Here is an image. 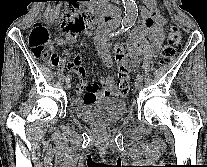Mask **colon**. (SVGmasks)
Here are the masks:
<instances>
[{
	"instance_id": "5ec220e1",
	"label": "colon",
	"mask_w": 207,
	"mask_h": 167,
	"mask_svg": "<svg viewBox=\"0 0 207 167\" xmlns=\"http://www.w3.org/2000/svg\"><path fill=\"white\" fill-rule=\"evenodd\" d=\"M59 1V0H58ZM58 3V2H56ZM58 4L47 8L44 14L45 22L49 23L57 19ZM86 16L80 15L75 19V14L72 9L68 10L60 19V36L61 38L69 39L79 28L82 27ZM182 36L178 27L172 26L168 31V38L161 52V63L171 61L176 49L181 46ZM29 46L31 53L36 58H44L53 65H58L60 58L53 50L49 29L46 24H35L29 35ZM118 88L123 93H128L132 89V79L128 72L120 67Z\"/></svg>"
}]
</instances>
